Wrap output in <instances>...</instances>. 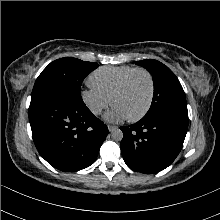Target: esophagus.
Segmentation results:
<instances>
[{
  "label": "esophagus",
  "instance_id": "obj_1",
  "mask_svg": "<svg viewBox=\"0 0 220 220\" xmlns=\"http://www.w3.org/2000/svg\"><path fill=\"white\" fill-rule=\"evenodd\" d=\"M115 129H117L116 126L108 125V130H109L110 132H112V131L115 130Z\"/></svg>",
  "mask_w": 220,
  "mask_h": 220
}]
</instances>
